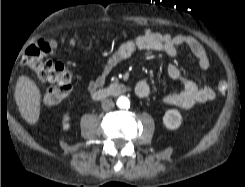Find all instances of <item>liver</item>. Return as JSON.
Wrapping results in <instances>:
<instances>
[{
  "label": "liver",
  "instance_id": "liver-1",
  "mask_svg": "<svg viewBox=\"0 0 245 187\" xmlns=\"http://www.w3.org/2000/svg\"><path fill=\"white\" fill-rule=\"evenodd\" d=\"M14 97L23 119L30 125L36 124L40 116L41 93L34 81L27 76H20Z\"/></svg>",
  "mask_w": 245,
  "mask_h": 187
}]
</instances>
